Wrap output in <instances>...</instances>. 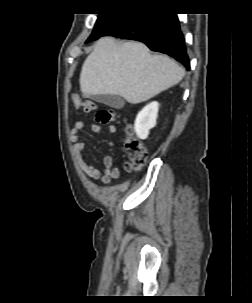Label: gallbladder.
<instances>
[{
	"instance_id": "obj_1",
	"label": "gallbladder",
	"mask_w": 252,
	"mask_h": 303,
	"mask_svg": "<svg viewBox=\"0 0 252 303\" xmlns=\"http://www.w3.org/2000/svg\"><path fill=\"white\" fill-rule=\"evenodd\" d=\"M93 99L115 109H121L125 105L124 99L119 95L100 94L93 96Z\"/></svg>"
}]
</instances>
